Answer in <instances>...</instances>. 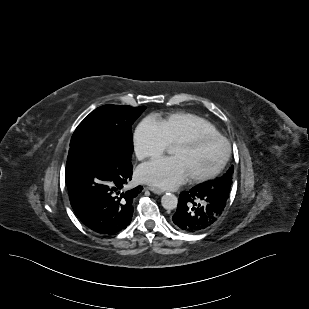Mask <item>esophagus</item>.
Instances as JSON below:
<instances>
[{
    "mask_svg": "<svg viewBox=\"0 0 309 309\" xmlns=\"http://www.w3.org/2000/svg\"><path fill=\"white\" fill-rule=\"evenodd\" d=\"M148 189L156 194H163L164 193V190L160 189V188H157V187H154V186H150L148 187Z\"/></svg>",
    "mask_w": 309,
    "mask_h": 309,
    "instance_id": "obj_1",
    "label": "esophagus"
}]
</instances>
